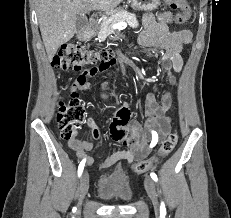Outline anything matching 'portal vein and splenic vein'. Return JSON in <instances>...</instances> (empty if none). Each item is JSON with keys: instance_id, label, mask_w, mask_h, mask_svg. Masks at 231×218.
<instances>
[{"instance_id": "18ae733b", "label": "portal vein and splenic vein", "mask_w": 231, "mask_h": 218, "mask_svg": "<svg viewBox=\"0 0 231 218\" xmlns=\"http://www.w3.org/2000/svg\"><path fill=\"white\" fill-rule=\"evenodd\" d=\"M126 26H127L126 22H120V23H117V24L113 25L114 28H123V27H126Z\"/></svg>"}]
</instances>
